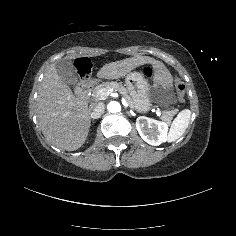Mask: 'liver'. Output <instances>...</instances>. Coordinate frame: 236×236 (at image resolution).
I'll list each match as a JSON object with an SVG mask.
<instances>
[{
	"mask_svg": "<svg viewBox=\"0 0 236 236\" xmlns=\"http://www.w3.org/2000/svg\"><path fill=\"white\" fill-rule=\"evenodd\" d=\"M147 63L153 64L157 72L164 68L162 62L149 56H136L105 64L97 77L117 79ZM36 101L37 119L47 141L66 151L77 150L84 144L91 123L88 102L74 96L58 76L55 64L45 73Z\"/></svg>",
	"mask_w": 236,
	"mask_h": 236,
	"instance_id": "liver-1",
	"label": "liver"
}]
</instances>
